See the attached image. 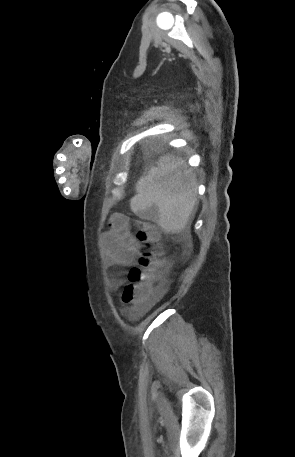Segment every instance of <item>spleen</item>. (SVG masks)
<instances>
[{
    "mask_svg": "<svg viewBox=\"0 0 295 457\" xmlns=\"http://www.w3.org/2000/svg\"><path fill=\"white\" fill-rule=\"evenodd\" d=\"M136 191L130 203L132 211L154 220L167 233H178L185 228L197 201V180L181 159L167 155L138 181Z\"/></svg>",
    "mask_w": 295,
    "mask_h": 457,
    "instance_id": "3e777b00",
    "label": "spleen"
}]
</instances>
